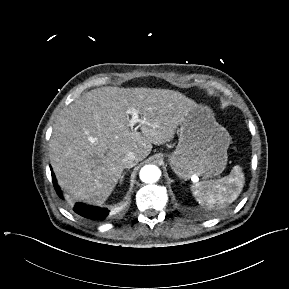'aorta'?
Returning <instances> with one entry per match:
<instances>
[{"label": "aorta", "mask_w": 289, "mask_h": 289, "mask_svg": "<svg viewBox=\"0 0 289 289\" xmlns=\"http://www.w3.org/2000/svg\"><path fill=\"white\" fill-rule=\"evenodd\" d=\"M161 176L160 169L155 165H145L141 168L139 177L144 183H154L159 180Z\"/></svg>", "instance_id": "762f6f07"}]
</instances>
